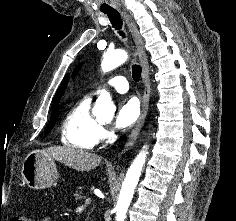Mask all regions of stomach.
Segmentation results:
<instances>
[{"mask_svg": "<svg viewBox=\"0 0 236 221\" xmlns=\"http://www.w3.org/2000/svg\"><path fill=\"white\" fill-rule=\"evenodd\" d=\"M24 182L32 189H45L54 185L58 172L54 160L42 151L30 152L21 169Z\"/></svg>", "mask_w": 236, "mask_h": 221, "instance_id": "stomach-1", "label": "stomach"}]
</instances>
